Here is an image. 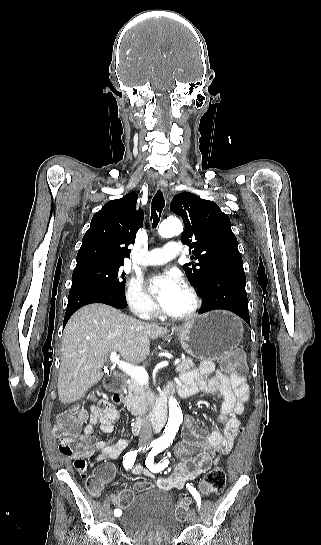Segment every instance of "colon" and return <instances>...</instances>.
<instances>
[{
	"label": "colon",
	"mask_w": 321,
	"mask_h": 545,
	"mask_svg": "<svg viewBox=\"0 0 321 545\" xmlns=\"http://www.w3.org/2000/svg\"><path fill=\"white\" fill-rule=\"evenodd\" d=\"M222 369L230 375V377H244L246 367L243 358L239 354H232L222 360ZM85 411L74 406L69 410L58 415L54 426V434L59 438V450L64 455H73L76 450V445L79 439V431L85 419ZM239 427L237 432H241ZM75 468L82 478L85 479V487L92 496H98L103 487V477L106 474L104 471L89 475L87 473L86 464L83 461L75 462ZM226 483V475L221 467H214L210 470L200 483V490L206 496L219 495ZM148 482H140L135 486V492H140L151 488ZM134 492L129 490L121 491L113 500L117 509L126 508L132 501ZM190 500L182 499L176 506L175 515L179 521H185L190 514Z\"/></svg>",
	"instance_id": "5ec220e1"
}]
</instances>
